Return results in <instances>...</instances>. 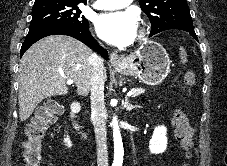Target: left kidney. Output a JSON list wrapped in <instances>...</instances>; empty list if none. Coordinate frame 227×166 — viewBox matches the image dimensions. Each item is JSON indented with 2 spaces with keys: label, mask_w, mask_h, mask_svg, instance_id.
Returning a JSON list of instances; mask_svg holds the SVG:
<instances>
[{
  "label": "left kidney",
  "mask_w": 227,
  "mask_h": 166,
  "mask_svg": "<svg viewBox=\"0 0 227 166\" xmlns=\"http://www.w3.org/2000/svg\"><path fill=\"white\" fill-rule=\"evenodd\" d=\"M167 129L164 126L155 127L153 136L149 142V150L152 154L163 153L167 148Z\"/></svg>",
  "instance_id": "obj_1"
}]
</instances>
